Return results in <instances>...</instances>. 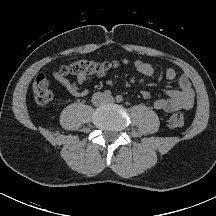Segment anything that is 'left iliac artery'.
Here are the masks:
<instances>
[{
    "label": "left iliac artery",
    "instance_id": "1",
    "mask_svg": "<svg viewBox=\"0 0 216 216\" xmlns=\"http://www.w3.org/2000/svg\"><path fill=\"white\" fill-rule=\"evenodd\" d=\"M123 100V97L121 95L116 96V101L121 102Z\"/></svg>",
    "mask_w": 216,
    "mask_h": 216
}]
</instances>
